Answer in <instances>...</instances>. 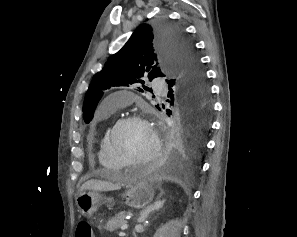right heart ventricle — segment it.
Listing matches in <instances>:
<instances>
[{"label": "right heart ventricle", "instance_id": "1", "mask_svg": "<svg viewBox=\"0 0 297 237\" xmlns=\"http://www.w3.org/2000/svg\"><path fill=\"white\" fill-rule=\"evenodd\" d=\"M113 112L111 109L101 107V116H108ZM107 133L100 138L97 147V158L100 166L106 169L109 173H116L123 169L120 162L110 153L107 146Z\"/></svg>", "mask_w": 297, "mask_h": 237}]
</instances>
